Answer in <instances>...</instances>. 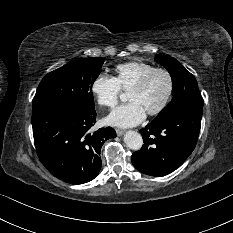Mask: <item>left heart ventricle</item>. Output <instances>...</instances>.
Wrapping results in <instances>:
<instances>
[{"mask_svg": "<svg viewBox=\"0 0 233 233\" xmlns=\"http://www.w3.org/2000/svg\"><path fill=\"white\" fill-rule=\"evenodd\" d=\"M168 89V80L163 73L155 74L141 91H130L128 100L137 102L146 113L156 109L163 101Z\"/></svg>", "mask_w": 233, "mask_h": 233, "instance_id": "left-heart-ventricle-1", "label": "left heart ventricle"}]
</instances>
